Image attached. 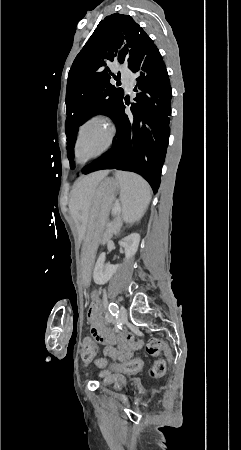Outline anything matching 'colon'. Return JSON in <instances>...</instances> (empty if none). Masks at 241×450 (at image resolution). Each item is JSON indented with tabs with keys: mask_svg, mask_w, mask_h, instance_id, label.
<instances>
[{
	"mask_svg": "<svg viewBox=\"0 0 241 450\" xmlns=\"http://www.w3.org/2000/svg\"><path fill=\"white\" fill-rule=\"evenodd\" d=\"M93 350H94V342L92 339H85L84 342L82 343V351H81V358L82 359H88V356H93ZM146 352L148 355H158L157 353L159 352L161 354H165L168 355L171 352V347L170 345L166 342V341H162L160 339L157 338H151L148 340L147 344H146ZM167 362L169 363L170 360V356L168 355L167 357ZM97 360V359H95ZM98 360H104V359H98ZM106 364L104 362H98L97 366L98 367H104ZM142 363L140 360H134L132 363H130L126 368L125 371L133 373V372H137L141 369ZM166 369V363L164 360L159 359L156 360L153 365L151 366L150 370H149V374L152 378L154 379H158L159 377H161Z\"/></svg>",
	"mask_w": 241,
	"mask_h": 450,
	"instance_id": "colon-1",
	"label": "colon"
}]
</instances>
